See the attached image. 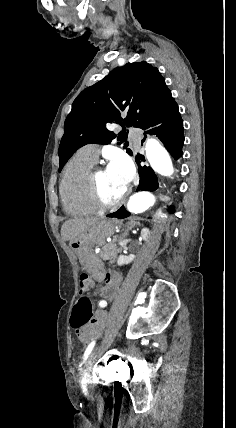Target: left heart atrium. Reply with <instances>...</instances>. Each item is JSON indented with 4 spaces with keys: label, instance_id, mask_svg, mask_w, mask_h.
I'll return each instance as SVG.
<instances>
[{
    "label": "left heart atrium",
    "instance_id": "1",
    "mask_svg": "<svg viewBox=\"0 0 236 428\" xmlns=\"http://www.w3.org/2000/svg\"><path fill=\"white\" fill-rule=\"evenodd\" d=\"M108 169L120 175L128 184L133 178V167L131 163L124 157L118 156L110 160Z\"/></svg>",
    "mask_w": 236,
    "mask_h": 428
}]
</instances>
